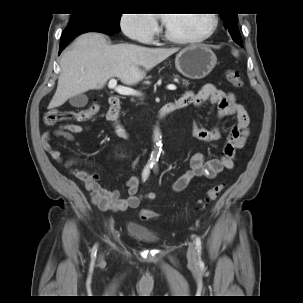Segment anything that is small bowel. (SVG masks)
<instances>
[{
	"label": "small bowel",
	"mask_w": 303,
	"mask_h": 303,
	"mask_svg": "<svg viewBox=\"0 0 303 303\" xmlns=\"http://www.w3.org/2000/svg\"><path fill=\"white\" fill-rule=\"evenodd\" d=\"M177 101L182 107L193 104L198 111L208 102L216 107V123L212 128H204L200 124L198 114L193 122V135L206 143L220 140L221 122L228 116H236V121L226 136L220 157L207 160L200 152L191 156L189 169L172 184L174 192H181L195 177L215 178L222 171L234 168L236 151L244 146L249 135V118L245 107L235 100L233 93L225 92L212 84H205L197 92L186 91ZM85 130L86 128L77 124H64L56 129L47 130L42 133L43 147L56 162L83 184L93 202L103 211L122 212L139 207L143 200H154L156 197L154 192H147L144 196L138 194L140 179L137 176H131L126 180L127 197L121 198L118 190H107L101 186L99 172L91 169L93 167L91 163L80 158H67L52 145L54 137H62L70 142L73 139L72 134Z\"/></svg>",
	"instance_id": "1"
}]
</instances>
